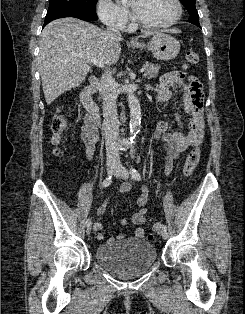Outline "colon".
I'll list each match as a JSON object with an SVG mask.
<instances>
[{"label": "colon", "instance_id": "colon-1", "mask_svg": "<svg viewBox=\"0 0 245 314\" xmlns=\"http://www.w3.org/2000/svg\"><path fill=\"white\" fill-rule=\"evenodd\" d=\"M199 61L198 54L195 52H188L185 57V66H193L197 64ZM67 128V121L64 116V112L62 108H58L56 115L53 118L52 121V131H53V137L52 142L54 145H56V149L54 150L55 154L60 153L59 146L63 143V135ZM201 157V151L199 147H193L189 154L187 155V158L185 160L184 166H183V175L185 177H189L197 167ZM162 224L161 223H155L152 226V231L148 235V239L152 240L154 234L159 233L161 231Z\"/></svg>", "mask_w": 245, "mask_h": 314}]
</instances>
